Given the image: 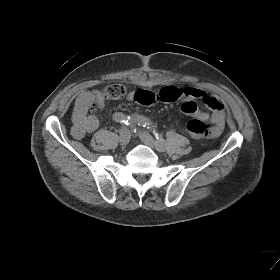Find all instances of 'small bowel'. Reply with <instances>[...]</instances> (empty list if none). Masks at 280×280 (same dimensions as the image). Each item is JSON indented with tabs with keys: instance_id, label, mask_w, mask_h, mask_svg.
<instances>
[{
	"instance_id": "c3829d8e",
	"label": "small bowel",
	"mask_w": 280,
	"mask_h": 280,
	"mask_svg": "<svg viewBox=\"0 0 280 280\" xmlns=\"http://www.w3.org/2000/svg\"><path fill=\"white\" fill-rule=\"evenodd\" d=\"M94 93L84 91L78 96L75 102L72 135L76 139H81L87 133L94 132L98 128L99 123L97 117L88 113V109L94 100ZM128 99L142 105H155L162 102H174L179 99H184L181 110L186 115L203 121L210 120L219 133L225 124L226 115L223 102L201 89H181L176 86H166L157 92L138 89L130 92ZM98 106L100 108L104 106L101 99H98Z\"/></svg>"
}]
</instances>
